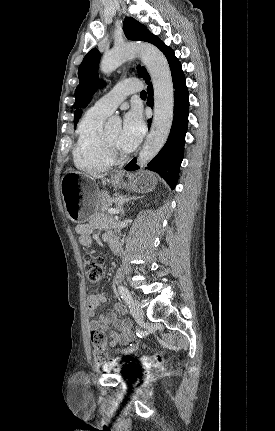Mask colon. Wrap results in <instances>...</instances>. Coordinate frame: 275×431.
Instances as JSON below:
<instances>
[{"mask_svg":"<svg viewBox=\"0 0 275 431\" xmlns=\"http://www.w3.org/2000/svg\"><path fill=\"white\" fill-rule=\"evenodd\" d=\"M83 267L86 278L91 285L97 284L104 274V261L102 258L93 254H86L83 258ZM93 355L98 366L105 370H111L119 365H130V357H111L107 349L106 335L101 329H94L90 332ZM142 361L153 366H160L165 362L162 354L143 356Z\"/></svg>","mask_w":275,"mask_h":431,"instance_id":"5ec220e1","label":"colon"}]
</instances>
